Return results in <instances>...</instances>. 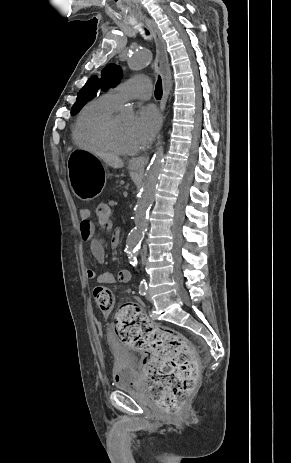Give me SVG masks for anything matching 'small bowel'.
<instances>
[{
    "label": "small bowel",
    "mask_w": 291,
    "mask_h": 463,
    "mask_svg": "<svg viewBox=\"0 0 291 463\" xmlns=\"http://www.w3.org/2000/svg\"><path fill=\"white\" fill-rule=\"evenodd\" d=\"M79 236L83 241H89V248L94 259L102 264L105 260V247L100 239L94 236V225L91 221V212L88 208H82L79 211ZM104 229L110 230L111 226H101ZM111 244L114 248H117L120 244L121 233L117 227L112 229ZM86 279L90 281H96L100 284H114L116 281L120 283H128L131 279V274L128 270H121L117 277L110 271H104L100 274L96 273L93 269H88L85 272Z\"/></svg>",
    "instance_id": "small-bowel-1"
}]
</instances>
